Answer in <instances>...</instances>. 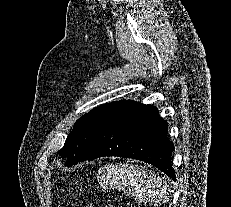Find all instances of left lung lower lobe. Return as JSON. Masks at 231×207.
<instances>
[{
	"label": "left lung lower lobe",
	"instance_id": "1",
	"mask_svg": "<svg viewBox=\"0 0 231 207\" xmlns=\"http://www.w3.org/2000/svg\"><path fill=\"white\" fill-rule=\"evenodd\" d=\"M167 125L155 107L126 101L107 119L79 162L102 156L133 158L156 166L175 181L174 145L167 138Z\"/></svg>",
	"mask_w": 231,
	"mask_h": 207
}]
</instances>
